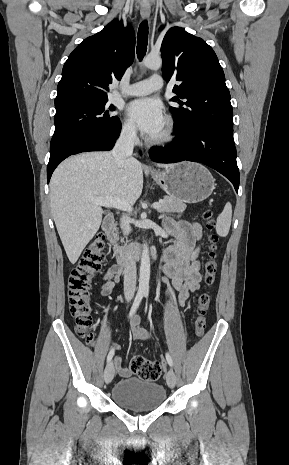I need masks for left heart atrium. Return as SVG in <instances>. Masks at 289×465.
Masks as SVG:
<instances>
[{
  "label": "left heart atrium",
  "mask_w": 289,
  "mask_h": 465,
  "mask_svg": "<svg viewBox=\"0 0 289 465\" xmlns=\"http://www.w3.org/2000/svg\"><path fill=\"white\" fill-rule=\"evenodd\" d=\"M128 113L145 135L153 138L163 130L165 118L161 104L153 98L135 100L128 106Z\"/></svg>",
  "instance_id": "1"
}]
</instances>
